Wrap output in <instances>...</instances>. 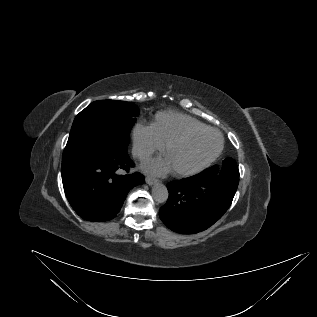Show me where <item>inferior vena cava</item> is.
Here are the masks:
<instances>
[{
    "label": "inferior vena cava",
    "instance_id": "602c4592",
    "mask_svg": "<svg viewBox=\"0 0 317 317\" xmlns=\"http://www.w3.org/2000/svg\"><path fill=\"white\" fill-rule=\"evenodd\" d=\"M132 153L134 156H138L140 158L147 156V153L138 146L133 147Z\"/></svg>",
    "mask_w": 317,
    "mask_h": 317
}]
</instances>
